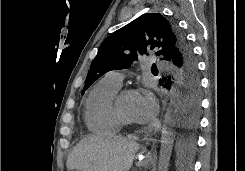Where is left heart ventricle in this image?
Listing matches in <instances>:
<instances>
[{
	"label": "left heart ventricle",
	"instance_id": "obj_1",
	"mask_svg": "<svg viewBox=\"0 0 245 171\" xmlns=\"http://www.w3.org/2000/svg\"><path fill=\"white\" fill-rule=\"evenodd\" d=\"M138 96H139L138 94L127 95L123 97L119 103V107H120L122 114L126 118L132 121H135L134 110H135L136 101L138 99Z\"/></svg>",
	"mask_w": 245,
	"mask_h": 171
}]
</instances>
